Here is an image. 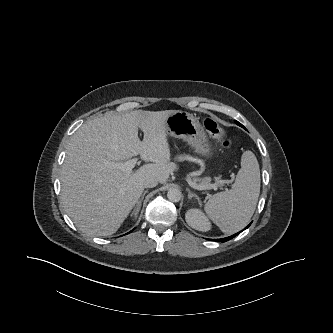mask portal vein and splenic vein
<instances>
[{"label": "portal vein and splenic vein", "instance_id": "18ae733b", "mask_svg": "<svg viewBox=\"0 0 333 333\" xmlns=\"http://www.w3.org/2000/svg\"><path fill=\"white\" fill-rule=\"evenodd\" d=\"M138 159L137 158H133V159H130L126 162H110V161H106L105 162V166L107 167H113V168H117L121 171H124V172H127V173H130L132 171V169L135 167V165L138 163L137 162ZM188 184L194 188V189H197V190H206V189H217L218 186L222 185L224 183V181H221L220 182V185H217V184H211V185H198L196 184L195 182H193L192 180L188 179Z\"/></svg>", "mask_w": 333, "mask_h": 333}]
</instances>
